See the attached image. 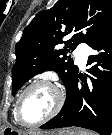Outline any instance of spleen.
I'll return each instance as SVG.
<instances>
[{"label":"spleen","instance_id":"3e777b00","mask_svg":"<svg viewBox=\"0 0 112 135\" xmlns=\"http://www.w3.org/2000/svg\"><path fill=\"white\" fill-rule=\"evenodd\" d=\"M78 135H95V134L87 132V131H79Z\"/></svg>","mask_w":112,"mask_h":135}]
</instances>
